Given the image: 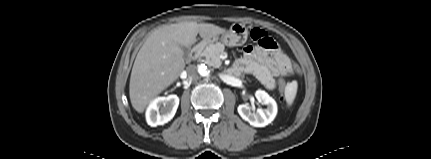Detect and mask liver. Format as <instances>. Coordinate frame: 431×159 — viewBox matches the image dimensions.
I'll use <instances>...</instances> for the list:
<instances>
[{
  "label": "liver",
  "mask_w": 431,
  "mask_h": 159,
  "mask_svg": "<svg viewBox=\"0 0 431 159\" xmlns=\"http://www.w3.org/2000/svg\"><path fill=\"white\" fill-rule=\"evenodd\" d=\"M210 23L182 22L154 30L140 48L130 77L132 107L143 113L149 103L173 84L185 68L181 46L190 48L196 37L208 41L225 32Z\"/></svg>",
  "instance_id": "liver-1"
}]
</instances>
